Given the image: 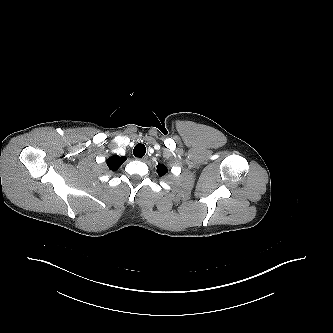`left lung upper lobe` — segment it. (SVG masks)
Segmentation results:
<instances>
[{
	"label": "left lung upper lobe",
	"instance_id": "left-lung-upper-lobe-1",
	"mask_svg": "<svg viewBox=\"0 0 333 333\" xmlns=\"http://www.w3.org/2000/svg\"><path fill=\"white\" fill-rule=\"evenodd\" d=\"M157 173L159 176H163L167 173V167L163 164L157 166Z\"/></svg>",
	"mask_w": 333,
	"mask_h": 333
}]
</instances>
